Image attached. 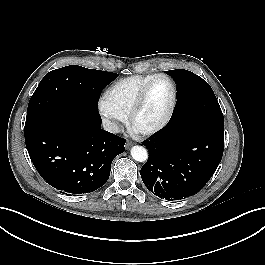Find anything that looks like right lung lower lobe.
Instances as JSON below:
<instances>
[{
    "label": "right lung lower lobe",
    "mask_w": 265,
    "mask_h": 265,
    "mask_svg": "<svg viewBox=\"0 0 265 265\" xmlns=\"http://www.w3.org/2000/svg\"><path fill=\"white\" fill-rule=\"evenodd\" d=\"M100 126L98 113L67 108L25 129L31 161L48 184L64 194H82L106 183L125 139Z\"/></svg>",
    "instance_id": "right-lung-lower-lobe-1"
}]
</instances>
